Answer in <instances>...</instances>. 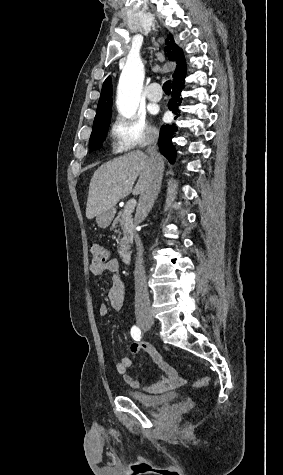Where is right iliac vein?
Returning <instances> with one entry per match:
<instances>
[{"label": "right iliac vein", "instance_id": "63e3f726", "mask_svg": "<svg viewBox=\"0 0 283 475\" xmlns=\"http://www.w3.org/2000/svg\"><path fill=\"white\" fill-rule=\"evenodd\" d=\"M151 323H153V316L151 313H148L139 319V324L144 327L149 326Z\"/></svg>", "mask_w": 283, "mask_h": 475}]
</instances>
